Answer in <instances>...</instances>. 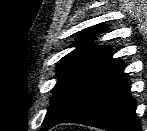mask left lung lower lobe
<instances>
[{"mask_svg": "<svg viewBox=\"0 0 147 131\" xmlns=\"http://www.w3.org/2000/svg\"><path fill=\"white\" fill-rule=\"evenodd\" d=\"M123 71L124 65L62 122L107 131H141V124L135 113L136 101L130 94V79Z\"/></svg>", "mask_w": 147, "mask_h": 131, "instance_id": "obj_1", "label": "left lung lower lobe"}]
</instances>
